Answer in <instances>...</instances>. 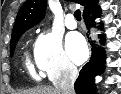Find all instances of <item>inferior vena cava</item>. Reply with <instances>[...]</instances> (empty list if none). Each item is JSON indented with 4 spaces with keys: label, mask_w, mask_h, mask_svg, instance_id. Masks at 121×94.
<instances>
[{
    "label": "inferior vena cava",
    "mask_w": 121,
    "mask_h": 94,
    "mask_svg": "<svg viewBox=\"0 0 121 94\" xmlns=\"http://www.w3.org/2000/svg\"><path fill=\"white\" fill-rule=\"evenodd\" d=\"M78 76L77 68L68 63L64 67L62 79L55 85L59 94H75L74 83Z\"/></svg>",
    "instance_id": "inferior-vena-cava-1"
}]
</instances>
